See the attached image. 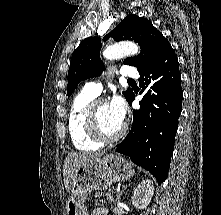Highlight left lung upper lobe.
I'll return each instance as SVG.
<instances>
[{
    "mask_svg": "<svg viewBox=\"0 0 221 215\" xmlns=\"http://www.w3.org/2000/svg\"><path fill=\"white\" fill-rule=\"evenodd\" d=\"M109 37H113L115 41L133 40L139 44L141 53L124 60V64L136 67L139 72L149 67L164 46L169 43L150 21L134 14L127 15L113 31L103 38V41L108 40ZM100 49L101 39L90 37L84 39L74 50L68 71V96L73 93L81 80L101 74L104 65L100 60ZM123 94L129 101L133 92L128 89Z\"/></svg>",
    "mask_w": 221,
    "mask_h": 215,
    "instance_id": "obj_1",
    "label": "left lung upper lobe"
}]
</instances>
